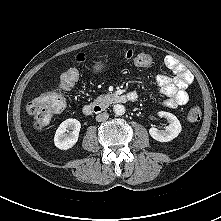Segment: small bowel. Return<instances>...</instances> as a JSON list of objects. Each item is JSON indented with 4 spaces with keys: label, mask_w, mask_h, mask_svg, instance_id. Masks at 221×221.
Returning <instances> with one entry per match:
<instances>
[{
    "label": "small bowel",
    "mask_w": 221,
    "mask_h": 221,
    "mask_svg": "<svg viewBox=\"0 0 221 221\" xmlns=\"http://www.w3.org/2000/svg\"><path fill=\"white\" fill-rule=\"evenodd\" d=\"M164 63L173 76L161 74L157 77L160 93L164 96L163 104L169 108L185 105L189 101L187 88L192 83V74L172 56L165 57Z\"/></svg>",
    "instance_id": "obj_1"
}]
</instances>
